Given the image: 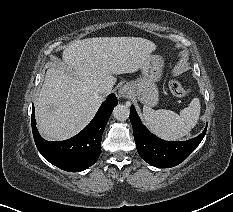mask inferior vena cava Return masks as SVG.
Returning <instances> with one entry per match:
<instances>
[{
  "mask_svg": "<svg viewBox=\"0 0 233 212\" xmlns=\"http://www.w3.org/2000/svg\"><path fill=\"white\" fill-rule=\"evenodd\" d=\"M97 91L100 93V94H109L111 92V87L108 86V85H105V86H100Z\"/></svg>",
  "mask_w": 233,
  "mask_h": 212,
  "instance_id": "obj_1",
  "label": "inferior vena cava"
}]
</instances>
